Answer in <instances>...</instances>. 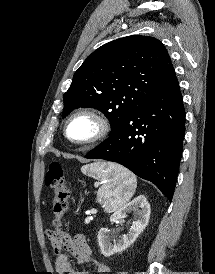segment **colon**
I'll return each instance as SVG.
<instances>
[{"label":"colon","instance_id":"obj_1","mask_svg":"<svg viewBox=\"0 0 215 274\" xmlns=\"http://www.w3.org/2000/svg\"><path fill=\"white\" fill-rule=\"evenodd\" d=\"M45 183L54 193L52 210L55 216L54 222L59 226L61 218L67 210L69 197V191L64 181L63 167L59 162L52 161L49 163ZM50 236H52L51 233Z\"/></svg>","mask_w":215,"mask_h":274}]
</instances>
